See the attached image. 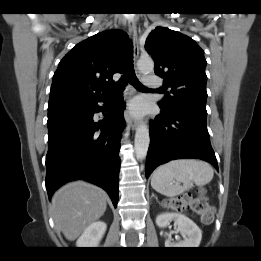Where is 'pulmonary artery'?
<instances>
[{
    "instance_id": "pulmonary-artery-1",
    "label": "pulmonary artery",
    "mask_w": 261,
    "mask_h": 261,
    "mask_svg": "<svg viewBox=\"0 0 261 261\" xmlns=\"http://www.w3.org/2000/svg\"><path fill=\"white\" fill-rule=\"evenodd\" d=\"M144 80L150 89H159L162 86V80L154 75H146Z\"/></svg>"
}]
</instances>
